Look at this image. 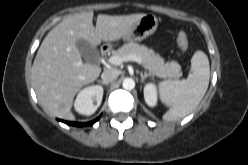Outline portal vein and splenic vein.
I'll return each mask as SVG.
<instances>
[{
  "instance_id": "portal-vein-and-splenic-vein-1",
  "label": "portal vein and splenic vein",
  "mask_w": 248,
  "mask_h": 165,
  "mask_svg": "<svg viewBox=\"0 0 248 165\" xmlns=\"http://www.w3.org/2000/svg\"><path fill=\"white\" fill-rule=\"evenodd\" d=\"M125 61H134V62H137L139 65H142L141 58L136 55H128L125 57L113 55L109 58V63L112 65H121Z\"/></svg>"
}]
</instances>
